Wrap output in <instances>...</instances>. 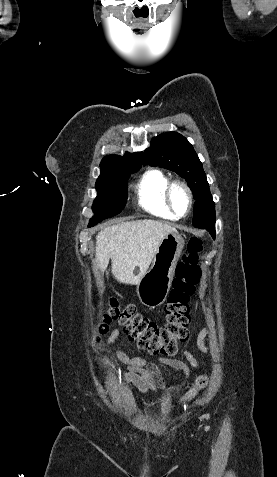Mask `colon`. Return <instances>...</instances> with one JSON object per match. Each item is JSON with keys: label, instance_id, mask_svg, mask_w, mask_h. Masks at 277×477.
Instances as JSON below:
<instances>
[{"label": "colon", "instance_id": "5ec220e1", "mask_svg": "<svg viewBox=\"0 0 277 477\" xmlns=\"http://www.w3.org/2000/svg\"><path fill=\"white\" fill-rule=\"evenodd\" d=\"M203 239L193 236L189 239L182 260L178 263L172 289L165 306L166 322L159 325L140 314L134 305L122 306L115 299L102 315L99 331L105 333L109 323L117 321L139 348L151 354L173 355L179 343L189 338V301L200 280L199 255ZM207 384L205 376H199L195 385L184 395L182 401H189Z\"/></svg>", "mask_w": 277, "mask_h": 477}]
</instances>
